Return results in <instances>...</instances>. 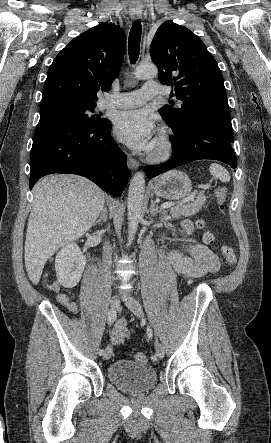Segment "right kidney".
I'll return each mask as SVG.
<instances>
[{
	"mask_svg": "<svg viewBox=\"0 0 271 443\" xmlns=\"http://www.w3.org/2000/svg\"><path fill=\"white\" fill-rule=\"evenodd\" d=\"M86 255H83L77 243H67L58 251L55 259L57 279L63 287H74L80 281L86 265Z\"/></svg>",
	"mask_w": 271,
	"mask_h": 443,
	"instance_id": "ca27d5eb",
	"label": "right kidney"
}]
</instances>
